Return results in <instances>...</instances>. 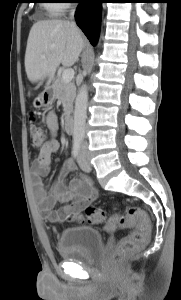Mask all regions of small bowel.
Wrapping results in <instances>:
<instances>
[{"label":"small bowel","mask_w":181,"mask_h":300,"mask_svg":"<svg viewBox=\"0 0 181 300\" xmlns=\"http://www.w3.org/2000/svg\"><path fill=\"white\" fill-rule=\"evenodd\" d=\"M46 124L51 132L48 142L41 148L33 163V180L35 198L40 208L47 213L51 223H59L65 219L77 220L82 216L83 209L97 197V192L86 177H74L69 183L66 178L75 170V163L67 159L61 167L56 180L48 188L42 177L50 171L51 156L58 148L57 127L58 121L55 113L46 116ZM58 203L64 206L55 210Z\"/></svg>","instance_id":"obj_1"}]
</instances>
